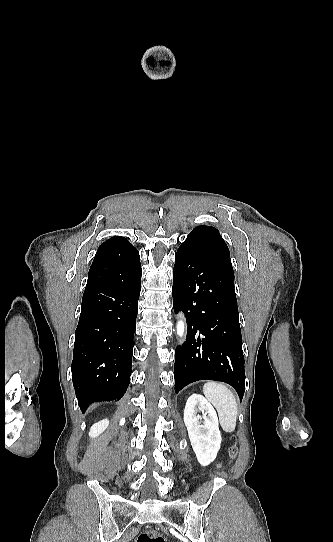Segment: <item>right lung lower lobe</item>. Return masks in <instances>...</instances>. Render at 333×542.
Listing matches in <instances>:
<instances>
[{"label": "right lung lower lobe", "instance_id": "1", "mask_svg": "<svg viewBox=\"0 0 333 542\" xmlns=\"http://www.w3.org/2000/svg\"><path fill=\"white\" fill-rule=\"evenodd\" d=\"M142 269L126 239L100 246L89 270L75 332L72 380L83 412L119 400L130 382Z\"/></svg>", "mask_w": 333, "mask_h": 542}]
</instances>
